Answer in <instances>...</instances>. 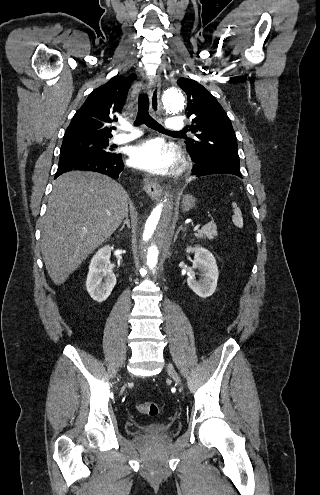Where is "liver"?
I'll return each mask as SVG.
<instances>
[{
  "instance_id": "1",
  "label": "liver",
  "mask_w": 320,
  "mask_h": 495,
  "mask_svg": "<svg viewBox=\"0 0 320 495\" xmlns=\"http://www.w3.org/2000/svg\"><path fill=\"white\" fill-rule=\"evenodd\" d=\"M127 214L128 195L110 178L83 171L60 175L41 227V252L52 281L63 284Z\"/></svg>"
}]
</instances>
